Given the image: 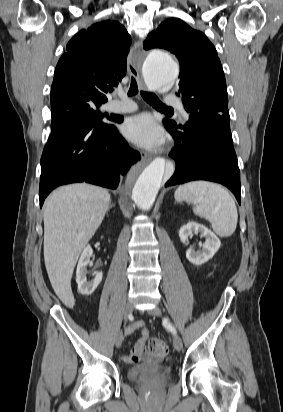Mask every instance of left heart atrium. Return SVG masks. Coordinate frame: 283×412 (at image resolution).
I'll use <instances>...</instances> for the list:
<instances>
[{
	"instance_id": "39dd6f15",
	"label": "left heart atrium",
	"mask_w": 283,
	"mask_h": 412,
	"mask_svg": "<svg viewBox=\"0 0 283 412\" xmlns=\"http://www.w3.org/2000/svg\"><path fill=\"white\" fill-rule=\"evenodd\" d=\"M123 134L134 144L146 148H157L164 143L165 134L156 119L147 113L129 118L123 125Z\"/></svg>"
}]
</instances>
